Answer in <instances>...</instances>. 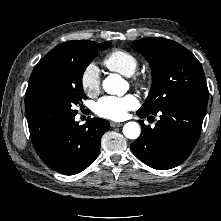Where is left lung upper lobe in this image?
I'll return each mask as SVG.
<instances>
[{"label":"left lung upper lobe","mask_w":221,"mask_h":221,"mask_svg":"<svg viewBox=\"0 0 221 221\" xmlns=\"http://www.w3.org/2000/svg\"><path fill=\"white\" fill-rule=\"evenodd\" d=\"M152 69V88L139 109L154 114L178 101L207 104L208 89L200 62L185 47L165 38H146L132 43Z\"/></svg>","instance_id":"obj_1"}]
</instances>
